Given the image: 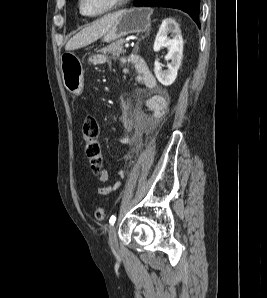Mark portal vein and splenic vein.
<instances>
[{
  "label": "portal vein and splenic vein",
  "mask_w": 267,
  "mask_h": 298,
  "mask_svg": "<svg viewBox=\"0 0 267 298\" xmlns=\"http://www.w3.org/2000/svg\"><path fill=\"white\" fill-rule=\"evenodd\" d=\"M129 46H130V44H129V43H126V44H125V47H126V48H128Z\"/></svg>",
  "instance_id": "1"
}]
</instances>
